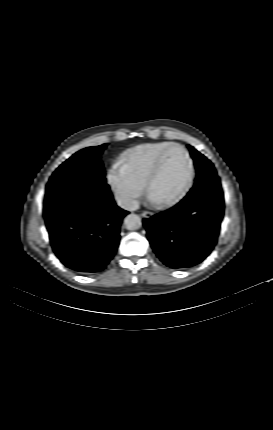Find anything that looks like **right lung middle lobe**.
<instances>
[{
	"mask_svg": "<svg viewBox=\"0 0 273 430\" xmlns=\"http://www.w3.org/2000/svg\"><path fill=\"white\" fill-rule=\"evenodd\" d=\"M106 145L80 150L56 169L46 187L44 207L83 192L109 193L100 161Z\"/></svg>",
	"mask_w": 273,
	"mask_h": 430,
	"instance_id": "obj_1",
	"label": "right lung middle lobe"
}]
</instances>
